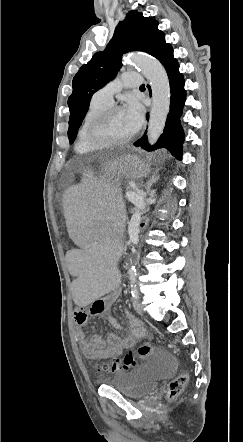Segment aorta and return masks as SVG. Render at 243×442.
<instances>
[{
	"label": "aorta",
	"instance_id": "1",
	"mask_svg": "<svg viewBox=\"0 0 243 442\" xmlns=\"http://www.w3.org/2000/svg\"><path fill=\"white\" fill-rule=\"evenodd\" d=\"M127 63L138 68L149 81L152 90V108L148 126V142L153 145L163 133L170 109V84L161 63L148 55H131Z\"/></svg>",
	"mask_w": 243,
	"mask_h": 442
}]
</instances>
